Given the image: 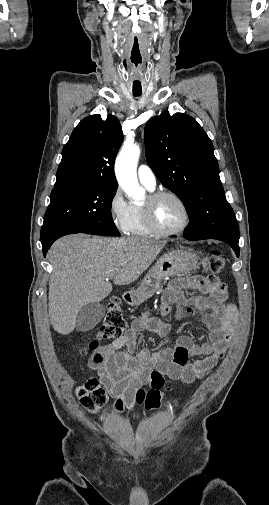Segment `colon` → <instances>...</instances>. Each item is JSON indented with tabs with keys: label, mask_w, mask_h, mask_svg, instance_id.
<instances>
[{
	"label": "colon",
	"mask_w": 269,
	"mask_h": 505,
	"mask_svg": "<svg viewBox=\"0 0 269 505\" xmlns=\"http://www.w3.org/2000/svg\"><path fill=\"white\" fill-rule=\"evenodd\" d=\"M225 257L219 250H213L207 256L202 271H209L213 280L220 278V271L225 267ZM166 305V304H165ZM164 305V306H165ZM163 306V307H164ZM127 323L123 316L118 300H112L107 308L106 316L98 333L99 339H113L124 335ZM98 342L92 341L90 349H96ZM147 384L150 389L144 391L139 389L136 393V401L143 404L147 409L157 408L162 395L169 390V382L164 374L159 370H153L148 378ZM80 403L90 410H95L106 402V395L100 385L99 380L91 378L82 385L77 392Z\"/></svg>",
	"instance_id": "1"
}]
</instances>
